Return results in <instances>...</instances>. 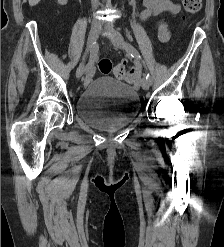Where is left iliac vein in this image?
I'll return each mask as SVG.
<instances>
[{"label":"left iliac vein","mask_w":224,"mask_h":247,"mask_svg":"<svg viewBox=\"0 0 224 247\" xmlns=\"http://www.w3.org/2000/svg\"><path fill=\"white\" fill-rule=\"evenodd\" d=\"M111 32H112V34L110 35L109 38H110L111 42L113 43V45L117 48H120V49H126V45H125V42H124L122 35L116 31H111ZM140 83H141V87L144 90H148L150 85H151L148 82V80L144 77L141 79Z\"/></svg>","instance_id":"obj_1"}]
</instances>
